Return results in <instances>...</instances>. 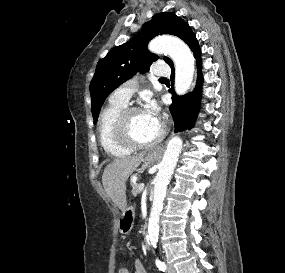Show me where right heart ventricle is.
Returning a JSON list of instances; mask_svg holds the SVG:
<instances>
[{"label": "right heart ventricle", "mask_w": 285, "mask_h": 273, "mask_svg": "<svg viewBox=\"0 0 285 273\" xmlns=\"http://www.w3.org/2000/svg\"><path fill=\"white\" fill-rule=\"evenodd\" d=\"M126 103L110 101L102 110L98 123L99 141L104 151L114 157L128 155L131 149L119 144L115 138L114 127L116 119Z\"/></svg>", "instance_id": "right-heart-ventricle-1"}]
</instances>
